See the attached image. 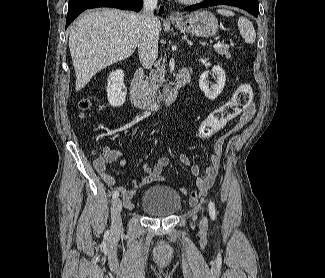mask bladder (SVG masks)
I'll return each instance as SVG.
<instances>
[{"mask_svg": "<svg viewBox=\"0 0 325 278\" xmlns=\"http://www.w3.org/2000/svg\"><path fill=\"white\" fill-rule=\"evenodd\" d=\"M180 194L169 186L154 185L147 188L141 199V208L151 217H168L181 208Z\"/></svg>", "mask_w": 325, "mask_h": 278, "instance_id": "1", "label": "bladder"}]
</instances>
